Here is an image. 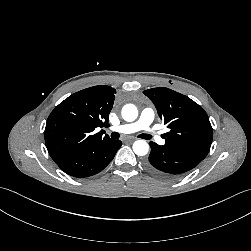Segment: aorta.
I'll return each instance as SVG.
<instances>
[{"label": "aorta", "instance_id": "aorta-1", "mask_svg": "<svg viewBox=\"0 0 251 251\" xmlns=\"http://www.w3.org/2000/svg\"><path fill=\"white\" fill-rule=\"evenodd\" d=\"M122 117L127 122H132L138 117L137 107L133 104H126L122 108ZM133 151L138 156H144L149 151V144L145 140H137L133 143Z\"/></svg>", "mask_w": 251, "mask_h": 251}]
</instances>
